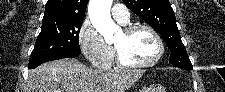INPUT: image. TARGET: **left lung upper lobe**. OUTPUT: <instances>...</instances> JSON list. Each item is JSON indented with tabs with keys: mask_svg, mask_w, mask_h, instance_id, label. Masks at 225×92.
Returning <instances> with one entry per match:
<instances>
[{
	"mask_svg": "<svg viewBox=\"0 0 225 92\" xmlns=\"http://www.w3.org/2000/svg\"><path fill=\"white\" fill-rule=\"evenodd\" d=\"M123 2L162 36L171 50L170 64L174 67H192L169 0H123Z\"/></svg>",
	"mask_w": 225,
	"mask_h": 92,
	"instance_id": "1",
	"label": "left lung upper lobe"
}]
</instances>
